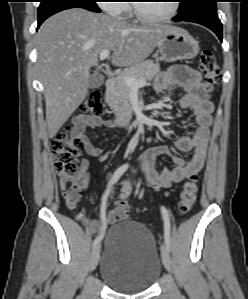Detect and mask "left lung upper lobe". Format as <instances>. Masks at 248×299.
<instances>
[{"mask_svg":"<svg viewBox=\"0 0 248 299\" xmlns=\"http://www.w3.org/2000/svg\"><path fill=\"white\" fill-rule=\"evenodd\" d=\"M217 0H181L180 14L184 17H190L195 13L216 10Z\"/></svg>","mask_w":248,"mask_h":299,"instance_id":"5c2ea615","label":"left lung upper lobe"}]
</instances>
